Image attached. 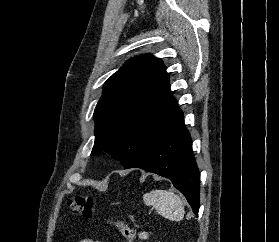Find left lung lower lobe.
Masks as SVG:
<instances>
[{"label":"left lung lower lobe","mask_w":279,"mask_h":242,"mask_svg":"<svg viewBox=\"0 0 279 242\" xmlns=\"http://www.w3.org/2000/svg\"><path fill=\"white\" fill-rule=\"evenodd\" d=\"M129 168H141L170 179L174 187L186 197L193 212L198 215L199 172L192 151V139L184 127L183 115L143 154L124 167Z\"/></svg>","instance_id":"obj_1"}]
</instances>
